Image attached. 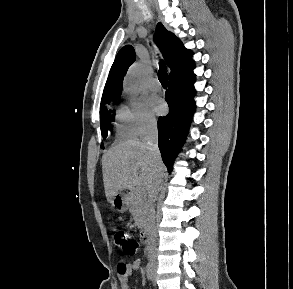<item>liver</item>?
I'll use <instances>...</instances> for the list:
<instances>
[{
	"instance_id": "obj_1",
	"label": "liver",
	"mask_w": 293,
	"mask_h": 289,
	"mask_svg": "<svg viewBox=\"0 0 293 289\" xmlns=\"http://www.w3.org/2000/svg\"><path fill=\"white\" fill-rule=\"evenodd\" d=\"M159 169L164 173L162 160ZM102 172L105 195L111 202L117 193L133 186H140L148 193L156 168L153 155L144 142L127 140L103 155Z\"/></svg>"
}]
</instances>
